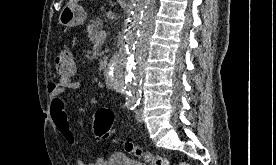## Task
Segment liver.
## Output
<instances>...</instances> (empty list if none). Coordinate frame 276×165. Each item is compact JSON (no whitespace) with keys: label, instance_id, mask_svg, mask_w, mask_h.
I'll use <instances>...</instances> for the list:
<instances>
[{"label":"liver","instance_id":"obj_1","mask_svg":"<svg viewBox=\"0 0 276 165\" xmlns=\"http://www.w3.org/2000/svg\"><path fill=\"white\" fill-rule=\"evenodd\" d=\"M80 0H70L67 5H74L76 4L77 2H79Z\"/></svg>","mask_w":276,"mask_h":165}]
</instances>
